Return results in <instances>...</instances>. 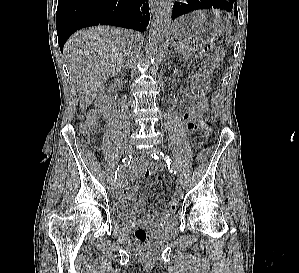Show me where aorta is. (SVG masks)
I'll return each instance as SVG.
<instances>
[{"instance_id":"obj_1","label":"aorta","mask_w":299,"mask_h":273,"mask_svg":"<svg viewBox=\"0 0 299 273\" xmlns=\"http://www.w3.org/2000/svg\"><path fill=\"white\" fill-rule=\"evenodd\" d=\"M172 3L163 1L157 8L149 30V42L146 46V57L158 61L165 53L170 35Z\"/></svg>"}]
</instances>
